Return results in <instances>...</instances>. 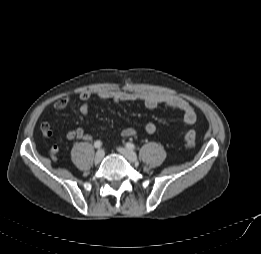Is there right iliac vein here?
<instances>
[{"mask_svg": "<svg viewBox=\"0 0 261 254\" xmlns=\"http://www.w3.org/2000/svg\"><path fill=\"white\" fill-rule=\"evenodd\" d=\"M104 157V151L103 150H98L95 154V157H94V162L95 163H100L102 161Z\"/></svg>", "mask_w": 261, "mask_h": 254, "instance_id": "right-iliac-vein-1", "label": "right iliac vein"}]
</instances>
